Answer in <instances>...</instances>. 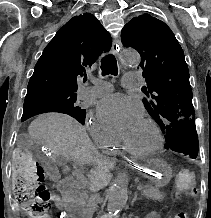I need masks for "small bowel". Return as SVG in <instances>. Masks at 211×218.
<instances>
[{"mask_svg":"<svg viewBox=\"0 0 211 218\" xmlns=\"http://www.w3.org/2000/svg\"><path fill=\"white\" fill-rule=\"evenodd\" d=\"M52 201L56 204V206L60 209L64 207L63 200L56 194L52 195ZM145 218H161L159 212L157 211H151L147 214Z\"/></svg>","mask_w":211,"mask_h":218,"instance_id":"obj_1","label":"small bowel"}]
</instances>
